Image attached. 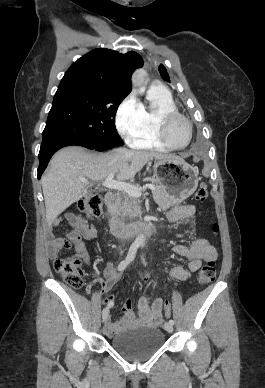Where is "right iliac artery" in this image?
Listing matches in <instances>:
<instances>
[{
    "mask_svg": "<svg viewBox=\"0 0 265 388\" xmlns=\"http://www.w3.org/2000/svg\"><path fill=\"white\" fill-rule=\"evenodd\" d=\"M137 248H138V244L131 245L129 252L127 254V257L123 261H121L117 267L119 271H123L129 265V263L134 260ZM112 306L113 304H108L107 308H111Z\"/></svg>",
    "mask_w": 265,
    "mask_h": 388,
    "instance_id": "82829eb1",
    "label": "right iliac artery"
}]
</instances>
